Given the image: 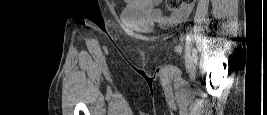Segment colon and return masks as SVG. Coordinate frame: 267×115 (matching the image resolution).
Segmentation results:
<instances>
[{"instance_id": "colon-1", "label": "colon", "mask_w": 267, "mask_h": 115, "mask_svg": "<svg viewBox=\"0 0 267 115\" xmlns=\"http://www.w3.org/2000/svg\"><path fill=\"white\" fill-rule=\"evenodd\" d=\"M192 0H168L166 2L167 9L169 11H178L186 5H190Z\"/></svg>"}]
</instances>
